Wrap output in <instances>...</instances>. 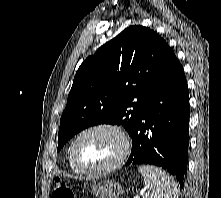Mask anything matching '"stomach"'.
I'll list each match as a JSON object with an SVG mask.
<instances>
[{
	"label": "stomach",
	"instance_id": "0dacf381",
	"mask_svg": "<svg viewBox=\"0 0 221 198\" xmlns=\"http://www.w3.org/2000/svg\"><path fill=\"white\" fill-rule=\"evenodd\" d=\"M91 192L97 198H119L123 193V188L115 181L106 180L92 185Z\"/></svg>",
	"mask_w": 221,
	"mask_h": 198
}]
</instances>
